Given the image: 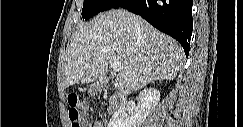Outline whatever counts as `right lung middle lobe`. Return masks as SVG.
<instances>
[{"mask_svg": "<svg viewBox=\"0 0 243 127\" xmlns=\"http://www.w3.org/2000/svg\"><path fill=\"white\" fill-rule=\"evenodd\" d=\"M119 0H84L82 9V18L90 19L94 15L112 9Z\"/></svg>", "mask_w": 243, "mask_h": 127, "instance_id": "dd1d6c3e", "label": "right lung middle lobe"}]
</instances>
